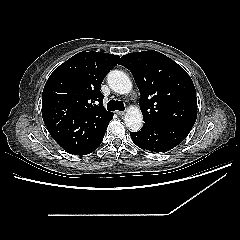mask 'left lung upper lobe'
Wrapping results in <instances>:
<instances>
[{"label":"left lung upper lobe","instance_id":"left-lung-upper-lobe-1","mask_svg":"<svg viewBox=\"0 0 240 240\" xmlns=\"http://www.w3.org/2000/svg\"><path fill=\"white\" fill-rule=\"evenodd\" d=\"M119 64L131 71L140 90L145 125H194L196 90L180 65L153 50L124 55Z\"/></svg>","mask_w":240,"mask_h":240}]
</instances>
